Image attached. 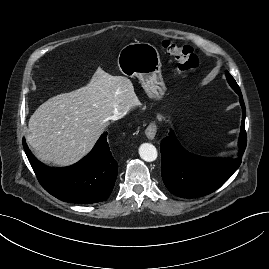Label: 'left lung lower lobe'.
<instances>
[{
    "mask_svg": "<svg viewBox=\"0 0 269 269\" xmlns=\"http://www.w3.org/2000/svg\"><path fill=\"white\" fill-rule=\"evenodd\" d=\"M242 122L239 137V158H205L186 151L177 141L173 131L160 145L162 156V178L168 190L178 197L195 198L212 193L221 187L241 164L246 148L245 104L240 90Z\"/></svg>",
    "mask_w": 269,
    "mask_h": 269,
    "instance_id": "0a47b994",
    "label": "left lung lower lobe"
}]
</instances>
